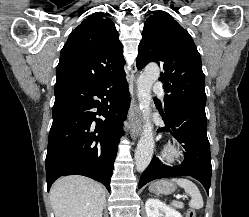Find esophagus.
<instances>
[{
    "label": "esophagus",
    "instance_id": "esophagus-1",
    "mask_svg": "<svg viewBox=\"0 0 249 217\" xmlns=\"http://www.w3.org/2000/svg\"><path fill=\"white\" fill-rule=\"evenodd\" d=\"M139 115L140 110L138 104L135 103V105L130 109L128 114L129 131L131 136L134 138H137L140 134Z\"/></svg>",
    "mask_w": 249,
    "mask_h": 217
}]
</instances>
